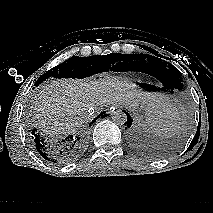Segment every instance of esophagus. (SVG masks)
I'll list each match as a JSON object with an SVG mask.
<instances>
[{
  "instance_id": "34e87169",
  "label": "esophagus",
  "mask_w": 213,
  "mask_h": 213,
  "mask_svg": "<svg viewBox=\"0 0 213 213\" xmlns=\"http://www.w3.org/2000/svg\"><path fill=\"white\" fill-rule=\"evenodd\" d=\"M120 108V106L114 105L110 108V113L114 112L116 109Z\"/></svg>"
}]
</instances>
